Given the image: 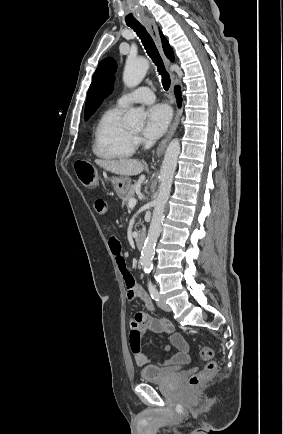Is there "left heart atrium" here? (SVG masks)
Here are the masks:
<instances>
[{
    "mask_svg": "<svg viewBox=\"0 0 283 434\" xmlns=\"http://www.w3.org/2000/svg\"><path fill=\"white\" fill-rule=\"evenodd\" d=\"M171 121V110L165 104L151 106L146 113L144 135L150 140H157L167 130Z\"/></svg>",
    "mask_w": 283,
    "mask_h": 434,
    "instance_id": "39dd6f15",
    "label": "left heart atrium"
}]
</instances>
